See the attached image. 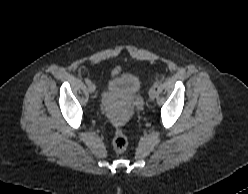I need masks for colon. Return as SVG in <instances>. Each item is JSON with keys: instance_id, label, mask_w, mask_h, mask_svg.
<instances>
[{"instance_id": "obj_1", "label": "colon", "mask_w": 248, "mask_h": 194, "mask_svg": "<svg viewBox=\"0 0 248 194\" xmlns=\"http://www.w3.org/2000/svg\"><path fill=\"white\" fill-rule=\"evenodd\" d=\"M113 148L117 153H124L128 147V140L121 129H117L113 136Z\"/></svg>"}]
</instances>
